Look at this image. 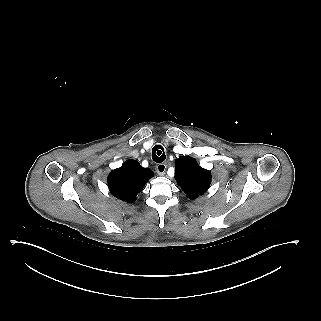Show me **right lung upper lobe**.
I'll return each instance as SVG.
<instances>
[{"mask_svg": "<svg viewBox=\"0 0 321 321\" xmlns=\"http://www.w3.org/2000/svg\"><path fill=\"white\" fill-rule=\"evenodd\" d=\"M152 176V170L141 167L136 160L129 159L120 168L110 172L107 182L112 195L132 203Z\"/></svg>", "mask_w": 321, "mask_h": 321, "instance_id": "right-lung-upper-lobe-1", "label": "right lung upper lobe"}]
</instances>
